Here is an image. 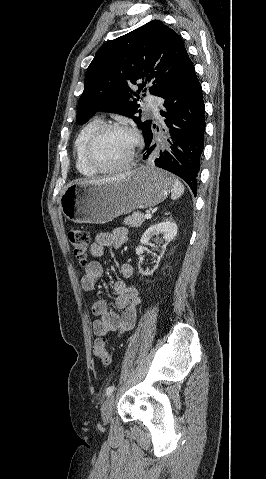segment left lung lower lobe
I'll return each instance as SVG.
<instances>
[{
    "mask_svg": "<svg viewBox=\"0 0 266 479\" xmlns=\"http://www.w3.org/2000/svg\"><path fill=\"white\" fill-rule=\"evenodd\" d=\"M163 99L165 110L160 114L165 117L167 134L162 142L153 139L152 128L144 135L143 159L182 178L196 196L205 118L201 85L192 63Z\"/></svg>",
    "mask_w": 266,
    "mask_h": 479,
    "instance_id": "left-lung-lower-lobe-1",
    "label": "left lung lower lobe"
}]
</instances>
